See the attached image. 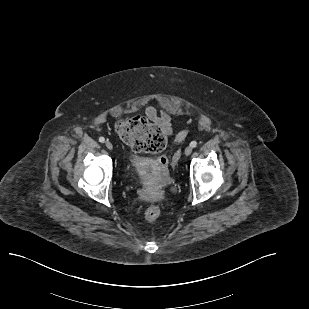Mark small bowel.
<instances>
[{"label":"small bowel","instance_id":"c3829d8e","mask_svg":"<svg viewBox=\"0 0 309 309\" xmlns=\"http://www.w3.org/2000/svg\"><path fill=\"white\" fill-rule=\"evenodd\" d=\"M145 116L154 125L160 127L165 134L172 133L171 117L167 111H158L154 106L149 105L145 108Z\"/></svg>","mask_w":309,"mask_h":309}]
</instances>
